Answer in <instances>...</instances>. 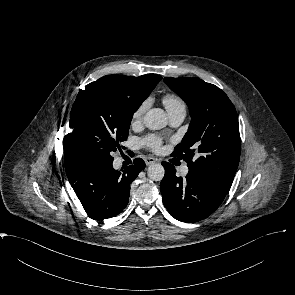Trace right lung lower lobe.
Segmentation results:
<instances>
[{
  "label": "right lung lower lobe",
  "mask_w": 295,
  "mask_h": 295,
  "mask_svg": "<svg viewBox=\"0 0 295 295\" xmlns=\"http://www.w3.org/2000/svg\"><path fill=\"white\" fill-rule=\"evenodd\" d=\"M113 160L81 163L68 180L88 216L100 221L114 217L127 206L130 184L145 168L141 158L121 170H115Z\"/></svg>",
  "instance_id": "obj_1"
}]
</instances>
